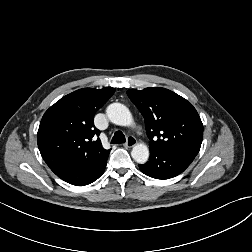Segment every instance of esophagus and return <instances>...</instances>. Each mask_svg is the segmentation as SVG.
Listing matches in <instances>:
<instances>
[{"label":"esophagus","instance_id":"34e87169","mask_svg":"<svg viewBox=\"0 0 252 252\" xmlns=\"http://www.w3.org/2000/svg\"><path fill=\"white\" fill-rule=\"evenodd\" d=\"M137 143V140L134 136H129L127 138V142L124 144L125 147L127 148H132L133 146H135Z\"/></svg>","mask_w":252,"mask_h":252}]
</instances>
